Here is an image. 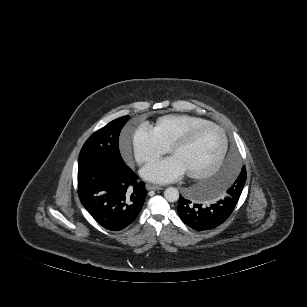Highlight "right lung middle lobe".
<instances>
[{"mask_svg": "<svg viewBox=\"0 0 307 307\" xmlns=\"http://www.w3.org/2000/svg\"><path fill=\"white\" fill-rule=\"evenodd\" d=\"M128 119L129 116L120 117L93 133L80 151L78 165L92 161H103L113 165L124 164L118 140L121 129Z\"/></svg>", "mask_w": 307, "mask_h": 307, "instance_id": "obj_1", "label": "right lung middle lobe"}]
</instances>
